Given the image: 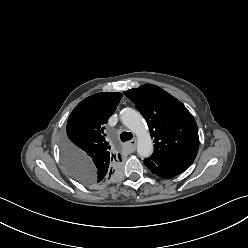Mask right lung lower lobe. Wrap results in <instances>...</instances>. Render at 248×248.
<instances>
[{"instance_id":"obj_1","label":"right lung lower lobe","mask_w":248,"mask_h":248,"mask_svg":"<svg viewBox=\"0 0 248 248\" xmlns=\"http://www.w3.org/2000/svg\"><path fill=\"white\" fill-rule=\"evenodd\" d=\"M64 164H66L67 166L72 167V168H74L76 166V164L72 161L71 158H65V157H64ZM82 183H84L86 185H92L93 184V181L87 172H86V175L83 177Z\"/></svg>"}]
</instances>
